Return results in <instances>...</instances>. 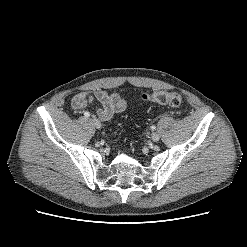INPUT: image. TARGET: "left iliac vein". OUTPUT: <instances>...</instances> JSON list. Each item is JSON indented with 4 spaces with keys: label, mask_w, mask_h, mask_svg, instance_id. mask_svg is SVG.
<instances>
[{
    "label": "left iliac vein",
    "mask_w": 247,
    "mask_h": 247,
    "mask_svg": "<svg viewBox=\"0 0 247 247\" xmlns=\"http://www.w3.org/2000/svg\"><path fill=\"white\" fill-rule=\"evenodd\" d=\"M151 138L154 142H157L160 139V135L157 132L152 133Z\"/></svg>",
    "instance_id": "1"
}]
</instances>
